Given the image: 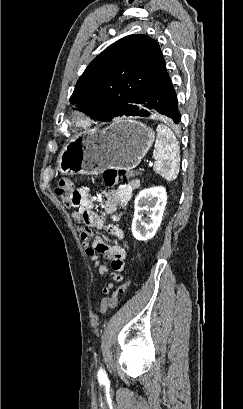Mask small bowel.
I'll return each instance as SVG.
<instances>
[{
	"label": "small bowel",
	"mask_w": 243,
	"mask_h": 409,
	"mask_svg": "<svg viewBox=\"0 0 243 409\" xmlns=\"http://www.w3.org/2000/svg\"><path fill=\"white\" fill-rule=\"evenodd\" d=\"M140 186L138 179L132 180L119 186L116 190L106 193L103 196V208L109 215L116 213L119 207H124L130 201L133 192ZM80 198L78 209L72 213L74 222L78 225L80 238L83 241L85 251L94 266L98 269L99 275L106 277L109 274L108 265L99 259V255L111 261V277L113 282L123 280L122 272L125 269L126 252L120 245H108L102 238L95 236L91 228L107 231L118 240L124 239V232L117 224H106L103 219L94 211V200L90 197L86 188L77 190ZM112 282L102 286L103 294H108L113 288Z\"/></svg>",
	"instance_id": "c3829d8e"
}]
</instances>
